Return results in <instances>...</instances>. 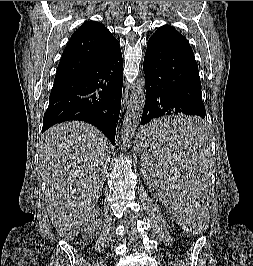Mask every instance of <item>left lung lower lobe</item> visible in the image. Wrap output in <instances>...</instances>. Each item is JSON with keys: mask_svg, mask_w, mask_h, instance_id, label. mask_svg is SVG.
Here are the masks:
<instances>
[{"mask_svg": "<svg viewBox=\"0 0 253 266\" xmlns=\"http://www.w3.org/2000/svg\"><path fill=\"white\" fill-rule=\"evenodd\" d=\"M143 70L146 102L141 117L143 135L152 141L198 135L206 111L198 65L187 39L169 25L161 26L147 43ZM198 117L174 123L156 122L171 114Z\"/></svg>", "mask_w": 253, "mask_h": 266, "instance_id": "left-lung-lower-lobe-1", "label": "left lung lower lobe"}]
</instances>
